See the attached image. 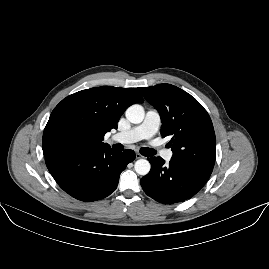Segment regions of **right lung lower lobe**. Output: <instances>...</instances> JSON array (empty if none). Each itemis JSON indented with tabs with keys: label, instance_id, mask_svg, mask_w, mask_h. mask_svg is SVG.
Segmentation results:
<instances>
[{
	"label": "right lung lower lobe",
	"instance_id": "right-lung-lower-lobe-1",
	"mask_svg": "<svg viewBox=\"0 0 269 269\" xmlns=\"http://www.w3.org/2000/svg\"><path fill=\"white\" fill-rule=\"evenodd\" d=\"M135 152L113 151L109 146L86 145L50 153L45 162L58 185L72 197L86 202L103 199L117 187L119 176Z\"/></svg>",
	"mask_w": 269,
	"mask_h": 269
}]
</instances>
